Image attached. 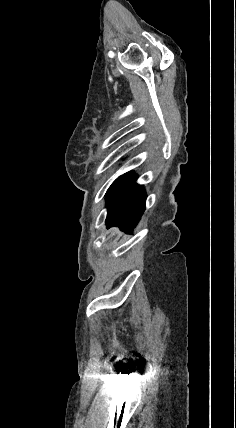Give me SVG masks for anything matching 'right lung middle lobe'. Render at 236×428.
<instances>
[{"mask_svg":"<svg viewBox=\"0 0 236 428\" xmlns=\"http://www.w3.org/2000/svg\"><path fill=\"white\" fill-rule=\"evenodd\" d=\"M126 176V174H124V175H122V176H120L119 178H117L114 182H113V184L110 186V188L108 189V191H107V193H106V195L118 184V183H120L123 179H124V177Z\"/></svg>","mask_w":236,"mask_h":428,"instance_id":"obj_1","label":"right lung middle lobe"}]
</instances>
